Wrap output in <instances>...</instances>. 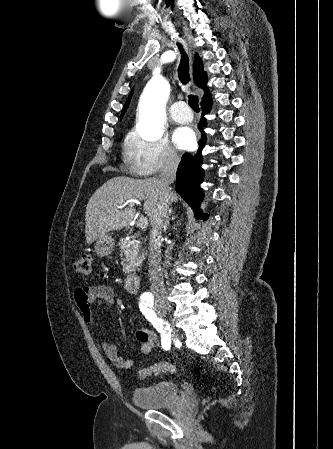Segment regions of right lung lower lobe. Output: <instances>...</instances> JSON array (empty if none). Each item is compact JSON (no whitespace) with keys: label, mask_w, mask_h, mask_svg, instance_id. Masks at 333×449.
<instances>
[{"label":"right lung lower lobe","mask_w":333,"mask_h":449,"mask_svg":"<svg viewBox=\"0 0 333 449\" xmlns=\"http://www.w3.org/2000/svg\"><path fill=\"white\" fill-rule=\"evenodd\" d=\"M201 109L203 114L201 116L198 128L200 131L206 123L204 118L205 113L211 110V96L210 94L204 96L201 102ZM205 136L199 140V151L195 154H184L177 170L176 191L183 197V199L194 210L195 216L203 220L207 219V215H202L199 204L202 201V189L200 183L203 181L204 172L201 169L202 154L201 151L205 146Z\"/></svg>","instance_id":"1"}]
</instances>
